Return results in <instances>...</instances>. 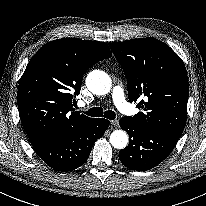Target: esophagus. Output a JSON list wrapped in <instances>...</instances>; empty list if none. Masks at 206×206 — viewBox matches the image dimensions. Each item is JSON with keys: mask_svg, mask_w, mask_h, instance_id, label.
<instances>
[{"mask_svg": "<svg viewBox=\"0 0 206 206\" xmlns=\"http://www.w3.org/2000/svg\"><path fill=\"white\" fill-rule=\"evenodd\" d=\"M110 122H111V124H112L114 127H118V126H119L118 120H111Z\"/></svg>", "mask_w": 206, "mask_h": 206, "instance_id": "esophagus-1", "label": "esophagus"}]
</instances>
